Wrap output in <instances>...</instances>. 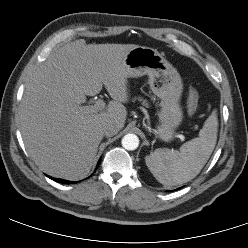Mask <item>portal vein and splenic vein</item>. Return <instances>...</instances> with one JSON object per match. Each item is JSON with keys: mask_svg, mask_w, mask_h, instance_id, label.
Masks as SVG:
<instances>
[{"mask_svg": "<svg viewBox=\"0 0 248 248\" xmlns=\"http://www.w3.org/2000/svg\"><path fill=\"white\" fill-rule=\"evenodd\" d=\"M83 108L95 113L105 109V102L101 99L96 100L92 105L83 106Z\"/></svg>", "mask_w": 248, "mask_h": 248, "instance_id": "obj_1", "label": "portal vein and splenic vein"}]
</instances>
